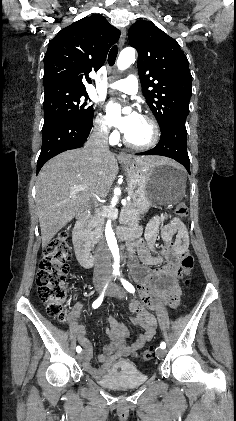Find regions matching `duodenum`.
Returning <instances> with one entry per match:
<instances>
[{
    "mask_svg": "<svg viewBox=\"0 0 236 421\" xmlns=\"http://www.w3.org/2000/svg\"><path fill=\"white\" fill-rule=\"evenodd\" d=\"M87 218V210L81 208L76 215V222L72 228V240L76 252L77 259L85 268H90L94 264V257L91 252L90 245L84 235L83 225ZM119 237L127 243L130 251L137 250L145 265L139 264L135 258H131L130 267L139 285L140 296L149 308H154L159 299L173 306L178 298L177 283L180 272V254L176 245L167 246L163 255H151L144 241L140 238V232L134 228H126L119 230ZM163 258L170 260L165 268L150 269L146 265H157ZM137 322L145 328V333L139 337L134 346L142 344L148 337V324L144 316H140ZM79 340H83V330L74 327ZM110 337L114 341L111 345L104 348V354L98 356L100 362H104V367L96 369L89 364L91 358L90 349L88 348L84 359L85 369L94 377L99 378L119 356L127 354L130 348H127L123 337L125 332L119 329H111L108 331ZM133 346V347H134ZM114 350L116 352L114 353Z\"/></svg>",
    "mask_w": 236,
    "mask_h": 421,
    "instance_id": "1",
    "label": "duodenum"
}]
</instances>
